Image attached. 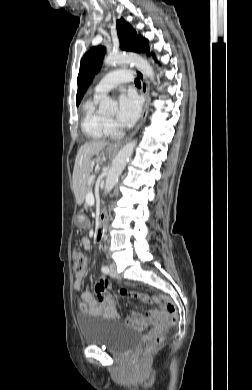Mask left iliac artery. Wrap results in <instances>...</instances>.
I'll return each mask as SVG.
<instances>
[{
	"mask_svg": "<svg viewBox=\"0 0 252 390\" xmlns=\"http://www.w3.org/2000/svg\"><path fill=\"white\" fill-rule=\"evenodd\" d=\"M101 270H102V272L105 273V274H107V273L109 272V268H108L107 266H105V265H103V266L101 267Z\"/></svg>",
	"mask_w": 252,
	"mask_h": 390,
	"instance_id": "obj_1",
	"label": "left iliac artery"
}]
</instances>
